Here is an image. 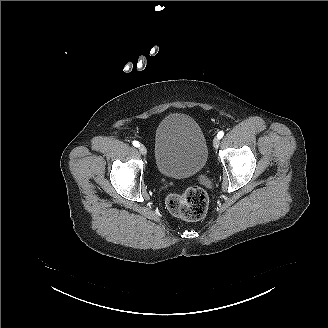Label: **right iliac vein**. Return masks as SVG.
I'll return each mask as SVG.
<instances>
[{"instance_id":"right-iliac-vein-1","label":"right iliac vein","mask_w":328,"mask_h":328,"mask_svg":"<svg viewBox=\"0 0 328 328\" xmlns=\"http://www.w3.org/2000/svg\"><path fill=\"white\" fill-rule=\"evenodd\" d=\"M139 152L142 154V155H146L147 154V149L144 145H140L139 146Z\"/></svg>"}]
</instances>
